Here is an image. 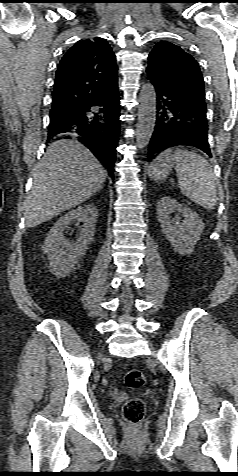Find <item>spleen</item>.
I'll return each instance as SVG.
<instances>
[{
  "label": "spleen",
  "mask_w": 238,
  "mask_h": 476,
  "mask_svg": "<svg viewBox=\"0 0 238 476\" xmlns=\"http://www.w3.org/2000/svg\"><path fill=\"white\" fill-rule=\"evenodd\" d=\"M172 157L181 192L193 202L211 210L217 204L215 176L209 162L188 150H176Z\"/></svg>",
  "instance_id": "spleen-1"
}]
</instances>
